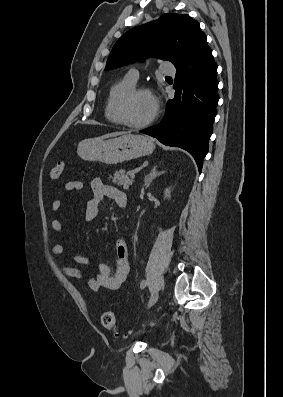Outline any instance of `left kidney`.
Returning <instances> with one entry per match:
<instances>
[{
  "instance_id": "5707ae66",
  "label": "left kidney",
  "mask_w": 283,
  "mask_h": 397,
  "mask_svg": "<svg viewBox=\"0 0 283 397\" xmlns=\"http://www.w3.org/2000/svg\"><path fill=\"white\" fill-rule=\"evenodd\" d=\"M164 198H167V199L170 198V191L168 188H166L164 191Z\"/></svg>"
}]
</instances>
